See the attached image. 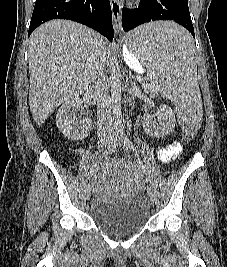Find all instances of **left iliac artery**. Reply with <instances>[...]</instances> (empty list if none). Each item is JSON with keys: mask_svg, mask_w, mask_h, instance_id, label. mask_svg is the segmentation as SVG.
<instances>
[{"mask_svg": "<svg viewBox=\"0 0 227 267\" xmlns=\"http://www.w3.org/2000/svg\"><path fill=\"white\" fill-rule=\"evenodd\" d=\"M118 134L121 136L124 145H126L127 148H129V149L134 151V146L131 143V141L128 139V137L125 135L124 131L123 130H119ZM139 164H140V166H142V168H144V166H143V164H142V162L140 160H139Z\"/></svg>", "mask_w": 227, "mask_h": 267, "instance_id": "44dca946", "label": "left iliac artery"}]
</instances>
